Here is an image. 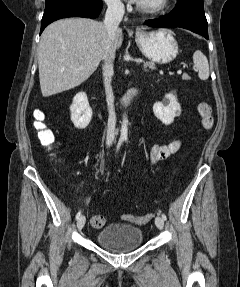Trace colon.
<instances>
[{
    "instance_id": "obj_1",
    "label": "colon",
    "mask_w": 240,
    "mask_h": 287,
    "mask_svg": "<svg viewBox=\"0 0 240 287\" xmlns=\"http://www.w3.org/2000/svg\"><path fill=\"white\" fill-rule=\"evenodd\" d=\"M198 113L202 120V125L205 129H210L213 125L212 107L207 102H200L198 104ZM34 127L37 130L38 139L41 144L45 146H52L55 142V136L53 132L44 123L45 115L40 110L33 112ZM153 218V214H145L143 216L122 215L121 219L124 221L135 222L137 224H146ZM91 224L95 228H101L105 224V218L102 215L93 216Z\"/></svg>"
}]
</instances>
